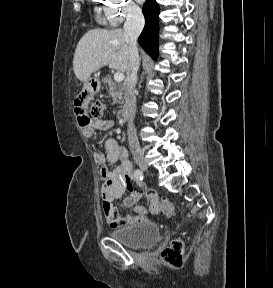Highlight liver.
I'll return each instance as SVG.
<instances>
[{
	"mask_svg": "<svg viewBox=\"0 0 273 288\" xmlns=\"http://www.w3.org/2000/svg\"><path fill=\"white\" fill-rule=\"evenodd\" d=\"M129 58V38L122 29H93L84 34L76 47L73 70L81 82H87L93 72L107 65L127 72Z\"/></svg>",
	"mask_w": 273,
	"mask_h": 288,
	"instance_id": "6515ba94",
	"label": "liver"
}]
</instances>
